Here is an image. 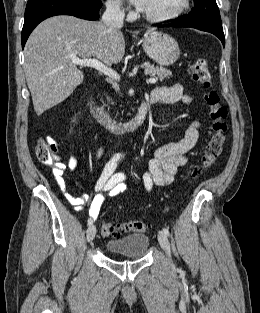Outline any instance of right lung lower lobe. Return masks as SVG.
<instances>
[{
  "mask_svg": "<svg viewBox=\"0 0 260 313\" xmlns=\"http://www.w3.org/2000/svg\"><path fill=\"white\" fill-rule=\"evenodd\" d=\"M101 7V0H28L21 35L22 47L32 30L44 19L55 15H72L97 20Z\"/></svg>",
  "mask_w": 260,
  "mask_h": 313,
  "instance_id": "98d812e1",
  "label": "right lung lower lobe"
}]
</instances>
